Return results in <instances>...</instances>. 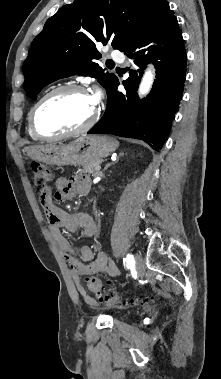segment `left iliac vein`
Masks as SVG:
<instances>
[{
	"mask_svg": "<svg viewBox=\"0 0 221 379\" xmlns=\"http://www.w3.org/2000/svg\"><path fill=\"white\" fill-rule=\"evenodd\" d=\"M135 267H136L138 276L143 277L145 274V264H144L143 258L138 253L135 255Z\"/></svg>",
	"mask_w": 221,
	"mask_h": 379,
	"instance_id": "1",
	"label": "left iliac vein"
}]
</instances>
